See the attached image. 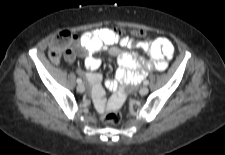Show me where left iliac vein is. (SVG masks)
<instances>
[{"mask_svg":"<svg viewBox=\"0 0 225 155\" xmlns=\"http://www.w3.org/2000/svg\"><path fill=\"white\" fill-rule=\"evenodd\" d=\"M149 92V89L146 86L140 88L139 93L140 95H146Z\"/></svg>","mask_w":225,"mask_h":155,"instance_id":"obj_1","label":"left iliac vein"}]
</instances>
